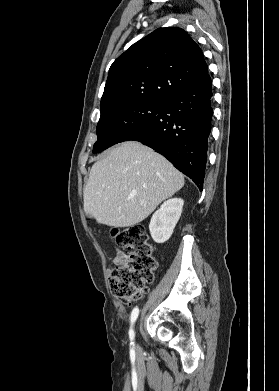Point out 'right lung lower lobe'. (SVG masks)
Instances as JSON below:
<instances>
[{
	"label": "right lung lower lobe",
	"instance_id": "98d812e1",
	"mask_svg": "<svg viewBox=\"0 0 279 391\" xmlns=\"http://www.w3.org/2000/svg\"><path fill=\"white\" fill-rule=\"evenodd\" d=\"M211 86L207 73L165 101L154 119L122 141L136 140L153 148L202 190L213 113Z\"/></svg>",
	"mask_w": 279,
	"mask_h": 391
}]
</instances>
